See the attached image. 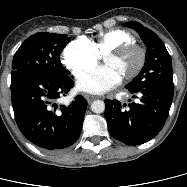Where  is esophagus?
Here are the masks:
<instances>
[{"mask_svg": "<svg viewBox=\"0 0 187 187\" xmlns=\"http://www.w3.org/2000/svg\"><path fill=\"white\" fill-rule=\"evenodd\" d=\"M83 96L85 97V99L87 100L88 103H91L92 101H94L97 98L96 96H92L89 94H83Z\"/></svg>", "mask_w": 187, "mask_h": 187, "instance_id": "1", "label": "esophagus"}]
</instances>
